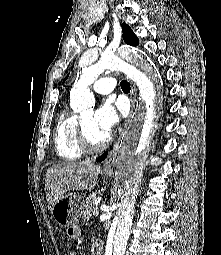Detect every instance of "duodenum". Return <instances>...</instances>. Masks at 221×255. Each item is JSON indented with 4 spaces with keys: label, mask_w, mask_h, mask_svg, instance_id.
<instances>
[{
    "label": "duodenum",
    "mask_w": 221,
    "mask_h": 255,
    "mask_svg": "<svg viewBox=\"0 0 221 255\" xmlns=\"http://www.w3.org/2000/svg\"><path fill=\"white\" fill-rule=\"evenodd\" d=\"M94 255H102V252L99 248H97L94 252Z\"/></svg>",
    "instance_id": "410a0bca"
}]
</instances>
